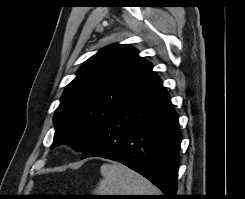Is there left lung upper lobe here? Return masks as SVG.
<instances>
[{"mask_svg":"<svg viewBox=\"0 0 245 199\" xmlns=\"http://www.w3.org/2000/svg\"><path fill=\"white\" fill-rule=\"evenodd\" d=\"M76 74L55 111L51 149L72 142L85 152L96 141L104 123L156 78L152 65L124 44L103 48Z\"/></svg>","mask_w":245,"mask_h":199,"instance_id":"obj_1","label":"left lung upper lobe"}]
</instances>
